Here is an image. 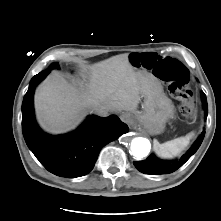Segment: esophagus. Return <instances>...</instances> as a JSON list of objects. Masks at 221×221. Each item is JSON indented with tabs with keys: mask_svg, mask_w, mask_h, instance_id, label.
<instances>
[{
	"mask_svg": "<svg viewBox=\"0 0 221 221\" xmlns=\"http://www.w3.org/2000/svg\"><path fill=\"white\" fill-rule=\"evenodd\" d=\"M120 119L125 122L126 124H130V121H131V115L129 113H122L120 115Z\"/></svg>",
	"mask_w": 221,
	"mask_h": 221,
	"instance_id": "esophagus-1",
	"label": "esophagus"
}]
</instances>
